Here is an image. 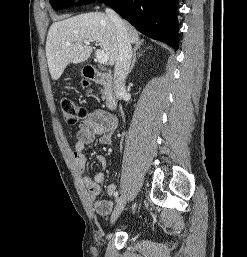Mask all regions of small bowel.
I'll use <instances>...</instances> for the list:
<instances>
[{
    "instance_id": "1",
    "label": "small bowel",
    "mask_w": 247,
    "mask_h": 257,
    "mask_svg": "<svg viewBox=\"0 0 247 257\" xmlns=\"http://www.w3.org/2000/svg\"><path fill=\"white\" fill-rule=\"evenodd\" d=\"M116 128V118L101 110L90 112L81 122L76 134V142L73 149V157L81 173H85L87 169V160L84 155L86 146L90 145L96 136H99V143L101 145H110ZM97 160L103 170L96 173L94 176L85 175L83 181L90 192V197L97 213L100 215H108L113 209V202L111 200H101L98 198L101 184L105 180L107 160L103 155L97 156ZM107 193L110 196L116 197L117 187L114 183L108 185Z\"/></svg>"
}]
</instances>
